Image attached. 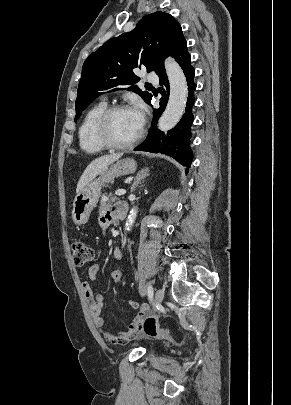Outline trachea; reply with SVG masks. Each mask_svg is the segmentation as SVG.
<instances>
[{"instance_id": "1", "label": "trachea", "mask_w": 291, "mask_h": 405, "mask_svg": "<svg viewBox=\"0 0 291 405\" xmlns=\"http://www.w3.org/2000/svg\"><path fill=\"white\" fill-rule=\"evenodd\" d=\"M147 86H151V84H147Z\"/></svg>"}]
</instances>
